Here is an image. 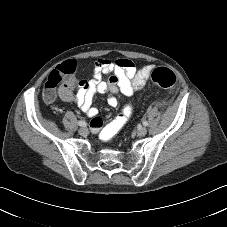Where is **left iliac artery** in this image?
<instances>
[{
    "label": "left iliac artery",
    "mask_w": 227,
    "mask_h": 227,
    "mask_svg": "<svg viewBox=\"0 0 227 227\" xmlns=\"http://www.w3.org/2000/svg\"><path fill=\"white\" fill-rule=\"evenodd\" d=\"M143 125H144V126H148V122H147V121H144V122H143Z\"/></svg>",
    "instance_id": "1"
}]
</instances>
